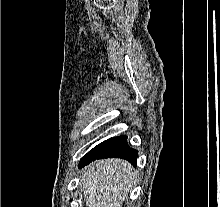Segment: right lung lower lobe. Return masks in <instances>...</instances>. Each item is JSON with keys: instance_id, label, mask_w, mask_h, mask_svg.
I'll list each match as a JSON object with an SVG mask.
<instances>
[{"instance_id": "1", "label": "right lung lower lobe", "mask_w": 220, "mask_h": 207, "mask_svg": "<svg viewBox=\"0 0 220 207\" xmlns=\"http://www.w3.org/2000/svg\"><path fill=\"white\" fill-rule=\"evenodd\" d=\"M137 154V150L130 148L127 144V136H117L100 143L92 150H90L80 160L79 167H84L85 165L96 159L108 157L123 158L128 160L132 164H135Z\"/></svg>"}]
</instances>
